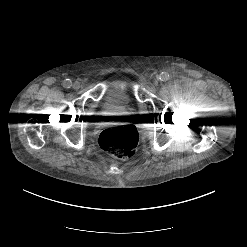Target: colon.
Instances as JSON below:
<instances>
[{
  "mask_svg": "<svg viewBox=\"0 0 247 247\" xmlns=\"http://www.w3.org/2000/svg\"><path fill=\"white\" fill-rule=\"evenodd\" d=\"M99 145L112 156L127 159L137 151L138 133L130 125L108 128L101 132Z\"/></svg>",
  "mask_w": 247,
  "mask_h": 247,
  "instance_id": "colon-1",
  "label": "colon"
}]
</instances>
